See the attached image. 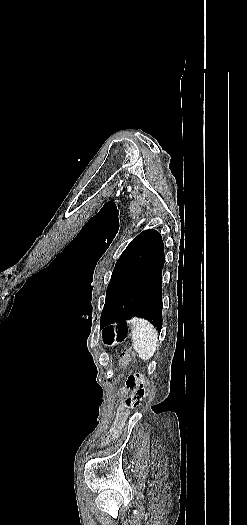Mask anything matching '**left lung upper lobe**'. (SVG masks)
I'll return each instance as SVG.
<instances>
[{
    "mask_svg": "<svg viewBox=\"0 0 247 525\" xmlns=\"http://www.w3.org/2000/svg\"><path fill=\"white\" fill-rule=\"evenodd\" d=\"M162 244L160 233L153 229H148L135 237L126 247L115 265L106 291L105 305L100 319L101 323L113 304L147 269Z\"/></svg>",
    "mask_w": 247,
    "mask_h": 525,
    "instance_id": "left-lung-upper-lobe-1",
    "label": "left lung upper lobe"
}]
</instances>
